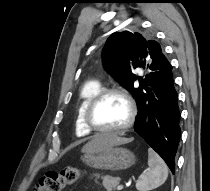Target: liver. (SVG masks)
Segmentation results:
<instances>
[{
	"label": "liver",
	"mask_w": 210,
	"mask_h": 191,
	"mask_svg": "<svg viewBox=\"0 0 210 191\" xmlns=\"http://www.w3.org/2000/svg\"><path fill=\"white\" fill-rule=\"evenodd\" d=\"M131 141L132 139L119 137L116 134L98 135L82 148V152H88V151H92L96 149H101L107 146L126 144Z\"/></svg>",
	"instance_id": "liver-1"
}]
</instances>
